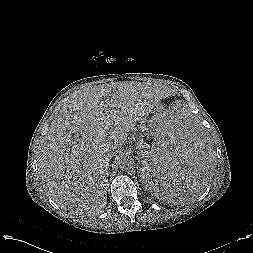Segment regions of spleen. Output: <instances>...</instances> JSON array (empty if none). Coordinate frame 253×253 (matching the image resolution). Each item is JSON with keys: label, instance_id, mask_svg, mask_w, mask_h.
<instances>
[{"label": "spleen", "instance_id": "3e777b00", "mask_svg": "<svg viewBox=\"0 0 253 253\" xmlns=\"http://www.w3.org/2000/svg\"><path fill=\"white\" fill-rule=\"evenodd\" d=\"M142 184L167 201L195 199L214 172V151L203 122L184 102L159 121L139 159Z\"/></svg>", "mask_w": 253, "mask_h": 253}]
</instances>
